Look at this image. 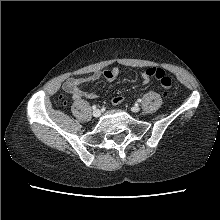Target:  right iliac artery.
<instances>
[{
    "label": "right iliac artery",
    "mask_w": 220,
    "mask_h": 220,
    "mask_svg": "<svg viewBox=\"0 0 220 220\" xmlns=\"http://www.w3.org/2000/svg\"><path fill=\"white\" fill-rule=\"evenodd\" d=\"M92 109L95 110L96 109V105L92 106Z\"/></svg>",
    "instance_id": "obj_1"
}]
</instances>
